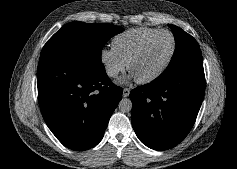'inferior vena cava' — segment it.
Masks as SVG:
<instances>
[{"label": "inferior vena cava", "mask_w": 237, "mask_h": 169, "mask_svg": "<svg viewBox=\"0 0 237 169\" xmlns=\"http://www.w3.org/2000/svg\"><path fill=\"white\" fill-rule=\"evenodd\" d=\"M106 72H107L108 76H110V77H116L118 75V71L114 68H111V67L106 68Z\"/></svg>", "instance_id": "obj_1"}]
</instances>
